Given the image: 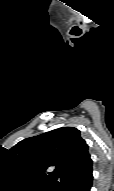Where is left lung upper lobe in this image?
Segmentation results:
<instances>
[{"mask_svg": "<svg viewBox=\"0 0 114 191\" xmlns=\"http://www.w3.org/2000/svg\"><path fill=\"white\" fill-rule=\"evenodd\" d=\"M14 160L46 187L60 191L90 159L88 145L74 127L26 138L10 149Z\"/></svg>", "mask_w": 114, "mask_h": 191, "instance_id": "1", "label": "left lung upper lobe"}]
</instances>
